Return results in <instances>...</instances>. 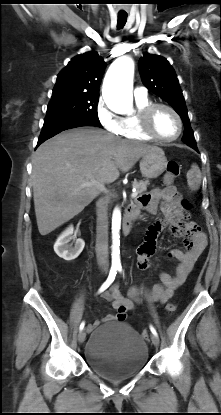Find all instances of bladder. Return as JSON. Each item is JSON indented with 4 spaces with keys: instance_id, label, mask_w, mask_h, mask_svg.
<instances>
[{
    "instance_id": "obj_1",
    "label": "bladder",
    "mask_w": 221,
    "mask_h": 415,
    "mask_svg": "<svg viewBox=\"0 0 221 415\" xmlns=\"http://www.w3.org/2000/svg\"><path fill=\"white\" fill-rule=\"evenodd\" d=\"M148 357L145 340L123 321L98 327L92 332L85 348L88 366L110 380L136 375L146 366Z\"/></svg>"
}]
</instances>
